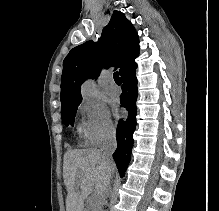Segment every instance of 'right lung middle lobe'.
I'll list each match as a JSON object with an SVG mask.
<instances>
[{
	"label": "right lung middle lobe",
	"mask_w": 219,
	"mask_h": 211,
	"mask_svg": "<svg viewBox=\"0 0 219 211\" xmlns=\"http://www.w3.org/2000/svg\"><path fill=\"white\" fill-rule=\"evenodd\" d=\"M80 103L81 101L70 103V104H64L61 106L62 121L66 126L74 125V118L76 115L77 107L79 106Z\"/></svg>",
	"instance_id": "1"
}]
</instances>
